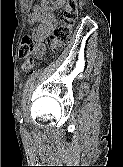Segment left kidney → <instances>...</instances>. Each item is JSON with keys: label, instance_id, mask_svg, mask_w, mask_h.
I'll return each mask as SVG.
<instances>
[{"label": "left kidney", "instance_id": "5707ae66", "mask_svg": "<svg viewBox=\"0 0 123 167\" xmlns=\"http://www.w3.org/2000/svg\"><path fill=\"white\" fill-rule=\"evenodd\" d=\"M43 1L46 2L47 0H43ZM63 3H64V0H58V2L56 3V5L54 6V9H56V8H58V7H60V6H62Z\"/></svg>", "mask_w": 123, "mask_h": 167}]
</instances>
